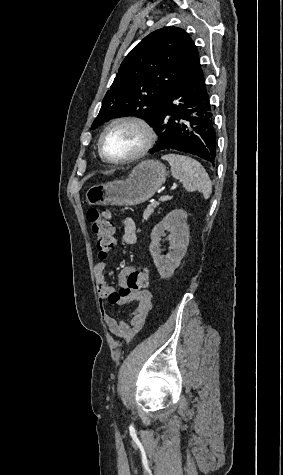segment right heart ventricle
I'll list each match as a JSON object with an SVG mask.
<instances>
[{"label":"right heart ventricle","instance_id":"1","mask_svg":"<svg viewBox=\"0 0 283 475\" xmlns=\"http://www.w3.org/2000/svg\"><path fill=\"white\" fill-rule=\"evenodd\" d=\"M100 158H101V157H100ZM101 160H102L103 162H105L102 158H101Z\"/></svg>","mask_w":283,"mask_h":475}]
</instances>
